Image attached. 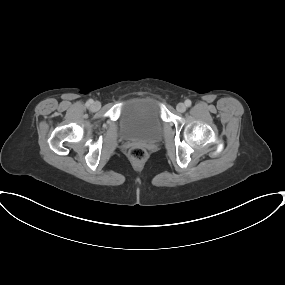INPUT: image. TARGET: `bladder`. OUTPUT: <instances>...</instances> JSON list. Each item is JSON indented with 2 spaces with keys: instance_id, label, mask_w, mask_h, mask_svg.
Here are the masks:
<instances>
[{
  "instance_id": "obj_1",
  "label": "bladder",
  "mask_w": 285,
  "mask_h": 285,
  "mask_svg": "<svg viewBox=\"0 0 285 285\" xmlns=\"http://www.w3.org/2000/svg\"><path fill=\"white\" fill-rule=\"evenodd\" d=\"M119 128L125 140L157 142L161 139L163 132L158 102L150 97L130 100L121 110Z\"/></svg>"
}]
</instances>
